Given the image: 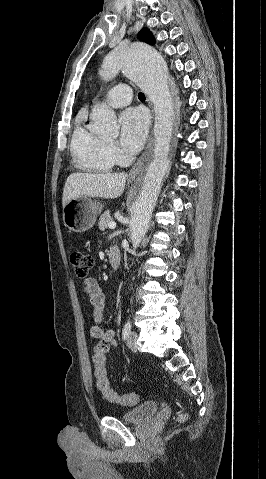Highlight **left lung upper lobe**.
Instances as JSON below:
<instances>
[{
    "mask_svg": "<svg viewBox=\"0 0 266 479\" xmlns=\"http://www.w3.org/2000/svg\"><path fill=\"white\" fill-rule=\"evenodd\" d=\"M138 39L143 41V42H146L150 45H153L155 43V39H154L152 33L147 28H143L138 33Z\"/></svg>",
    "mask_w": 266,
    "mask_h": 479,
    "instance_id": "left-lung-upper-lobe-1",
    "label": "left lung upper lobe"
}]
</instances>
